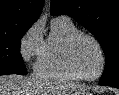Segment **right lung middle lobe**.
I'll return each instance as SVG.
<instances>
[{"mask_svg":"<svg viewBox=\"0 0 119 95\" xmlns=\"http://www.w3.org/2000/svg\"><path fill=\"white\" fill-rule=\"evenodd\" d=\"M31 25H11L0 29V72L26 75L20 54V39Z\"/></svg>","mask_w":119,"mask_h":95,"instance_id":"right-lung-middle-lobe-1","label":"right lung middle lobe"}]
</instances>
